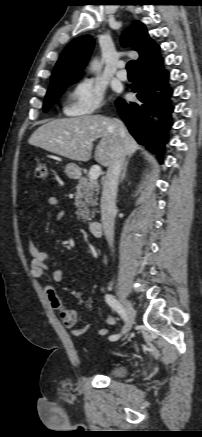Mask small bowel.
<instances>
[{
	"label": "small bowel",
	"instance_id": "small-bowel-1",
	"mask_svg": "<svg viewBox=\"0 0 202 437\" xmlns=\"http://www.w3.org/2000/svg\"><path fill=\"white\" fill-rule=\"evenodd\" d=\"M47 204L50 207H57L59 204V200L57 197H49L47 200ZM65 216L64 211H60L57 213L56 218L58 220L63 219ZM28 250L31 255V263H30V273L34 278H41L44 275L45 270H49L52 268V279L55 283H59L62 281L63 273L60 269L55 267V264L52 263V260L48 253L41 251L33 241L28 242ZM45 296L50 303V305L60 313L61 320L65 327L72 328V335L81 336L84 334L90 327V324L87 323L83 327L75 328L76 324L79 320V313L75 310L67 309L60 296L58 295L56 289L51 285L44 286ZM106 323L108 325H114L116 323V318L112 314H108L106 316ZM109 332L107 327H102L99 329L98 333L101 336L107 335Z\"/></svg>",
	"mask_w": 202,
	"mask_h": 437
}]
</instances>
